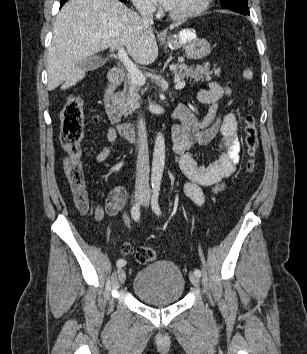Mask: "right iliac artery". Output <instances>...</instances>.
I'll use <instances>...</instances> for the list:
<instances>
[{
    "label": "right iliac artery",
    "instance_id": "right-iliac-artery-1",
    "mask_svg": "<svg viewBox=\"0 0 307 354\" xmlns=\"http://www.w3.org/2000/svg\"><path fill=\"white\" fill-rule=\"evenodd\" d=\"M131 215L135 221L139 220V218H140V205H139V203H136L133 205V207L131 209ZM116 265H117V267L121 268L126 265V261L124 259H119L117 261Z\"/></svg>",
    "mask_w": 307,
    "mask_h": 354
}]
</instances>
